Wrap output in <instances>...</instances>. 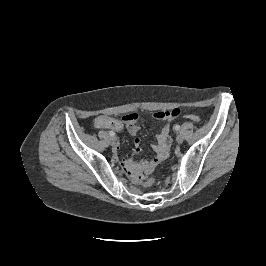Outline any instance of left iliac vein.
<instances>
[{"instance_id": "obj_1", "label": "left iliac vein", "mask_w": 266, "mask_h": 266, "mask_svg": "<svg viewBox=\"0 0 266 266\" xmlns=\"http://www.w3.org/2000/svg\"><path fill=\"white\" fill-rule=\"evenodd\" d=\"M184 140V137L181 134H178L176 137L177 143L181 144Z\"/></svg>"}]
</instances>
